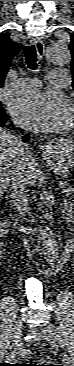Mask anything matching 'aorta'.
Returning a JSON list of instances; mask_svg holds the SVG:
<instances>
[{"instance_id":"1","label":"aorta","mask_w":74,"mask_h":366,"mask_svg":"<svg viewBox=\"0 0 74 366\" xmlns=\"http://www.w3.org/2000/svg\"><path fill=\"white\" fill-rule=\"evenodd\" d=\"M45 59L48 63L57 67L67 66L71 61L68 45L57 42L49 43L46 46ZM40 236L41 244L46 251L47 260L54 262L58 258V245L53 231L48 226H44L40 230Z\"/></svg>"}]
</instances>
